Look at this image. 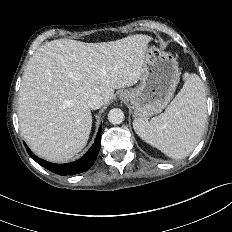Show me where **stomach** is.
<instances>
[{
	"instance_id": "stomach-1",
	"label": "stomach",
	"mask_w": 232,
	"mask_h": 232,
	"mask_svg": "<svg viewBox=\"0 0 232 232\" xmlns=\"http://www.w3.org/2000/svg\"><path fill=\"white\" fill-rule=\"evenodd\" d=\"M179 80L178 62L171 53L148 45L139 84L128 90L135 118L147 119L170 102Z\"/></svg>"
}]
</instances>
